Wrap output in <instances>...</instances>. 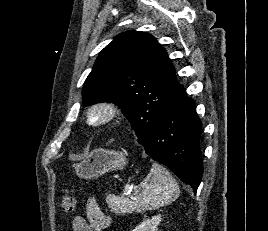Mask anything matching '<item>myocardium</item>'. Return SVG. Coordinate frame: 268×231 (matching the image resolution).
<instances>
[{
    "instance_id": "obj_1",
    "label": "myocardium",
    "mask_w": 268,
    "mask_h": 231,
    "mask_svg": "<svg viewBox=\"0 0 268 231\" xmlns=\"http://www.w3.org/2000/svg\"><path fill=\"white\" fill-rule=\"evenodd\" d=\"M119 113L118 106L109 100L92 103L87 110V122L93 127H100L113 121Z\"/></svg>"
}]
</instances>
